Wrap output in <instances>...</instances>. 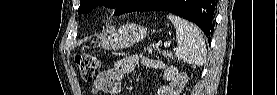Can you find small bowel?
Here are the masks:
<instances>
[{
	"label": "small bowel",
	"mask_w": 277,
	"mask_h": 95,
	"mask_svg": "<svg viewBox=\"0 0 277 95\" xmlns=\"http://www.w3.org/2000/svg\"><path fill=\"white\" fill-rule=\"evenodd\" d=\"M139 63L146 64L150 67H158L160 61L146 58L140 55H130L121 58L109 69L102 71L96 80L92 83V94H119L120 81L126 75L132 72ZM176 76L174 72L165 71L163 77L170 79ZM158 95H170L168 87H161Z\"/></svg>",
	"instance_id": "1"
}]
</instances>
